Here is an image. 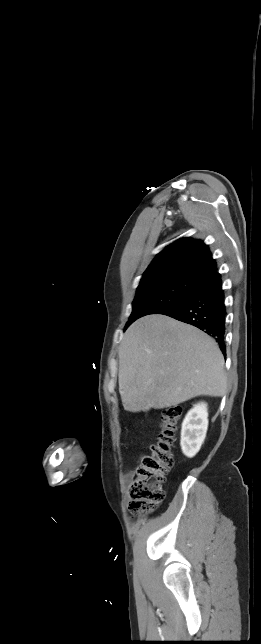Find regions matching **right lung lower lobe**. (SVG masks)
I'll return each instance as SVG.
<instances>
[{
	"instance_id": "98d812e1",
	"label": "right lung lower lobe",
	"mask_w": 261,
	"mask_h": 644,
	"mask_svg": "<svg viewBox=\"0 0 261 644\" xmlns=\"http://www.w3.org/2000/svg\"><path fill=\"white\" fill-rule=\"evenodd\" d=\"M161 314L201 329L215 338L223 354L226 351L224 292L217 271L198 282L183 302Z\"/></svg>"
}]
</instances>
